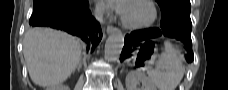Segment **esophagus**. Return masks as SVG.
I'll return each instance as SVG.
<instances>
[{
    "label": "esophagus",
    "instance_id": "1",
    "mask_svg": "<svg viewBox=\"0 0 228 90\" xmlns=\"http://www.w3.org/2000/svg\"><path fill=\"white\" fill-rule=\"evenodd\" d=\"M106 31L108 34H116V33L120 32L118 28L113 27V26H107Z\"/></svg>",
    "mask_w": 228,
    "mask_h": 90
}]
</instances>
